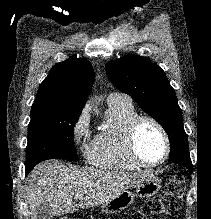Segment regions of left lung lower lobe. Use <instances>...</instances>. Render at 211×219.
Listing matches in <instances>:
<instances>
[{
	"instance_id": "left-lung-lower-lobe-1",
	"label": "left lung lower lobe",
	"mask_w": 211,
	"mask_h": 219,
	"mask_svg": "<svg viewBox=\"0 0 211 219\" xmlns=\"http://www.w3.org/2000/svg\"><path fill=\"white\" fill-rule=\"evenodd\" d=\"M169 161L183 165V166L187 167L189 170L193 169L190 155H180V156H176V157H169Z\"/></svg>"
}]
</instances>
